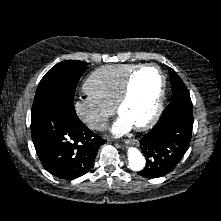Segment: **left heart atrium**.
<instances>
[{"mask_svg": "<svg viewBox=\"0 0 221 221\" xmlns=\"http://www.w3.org/2000/svg\"><path fill=\"white\" fill-rule=\"evenodd\" d=\"M133 124L126 117L120 116L118 120L112 125L111 132L115 136H121L133 128Z\"/></svg>", "mask_w": 221, "mask_h": 221, "instance_id": "left-heart-atrium-1", "label": "left heart atrium"}]
</instances>
